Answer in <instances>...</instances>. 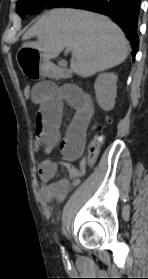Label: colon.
I'll return each instance as SVG.
<instances>
[{"mask_svg": "<svg viewBox=\"0 0 148 279\" xmlns=\"http://www.w3.org/2000/svg\"><path fill=\"white\" fill-rule=\"evenodd\" d=\"M32 86L30 85H25L22 88V92L24 94L25 97L30 98L31 94H32ZM104 141V137L101 133L96 134L91 141L89 142L83 161H82V166H86V165H92L98 156L99 150L103 144Z\"/></svg>", "mask_w": 148, "mask_h": 279, "instance_id": "5ec220e1", "label": "colon"}]
</instances>
